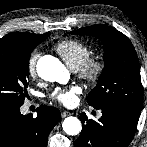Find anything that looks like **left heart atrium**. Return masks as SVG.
<instances>
[{"label": "left heart atrium", "instance_id": "39dd6f15", "mask_svg": "<svg viewBox=\"0 0 147 147\" xmlns=\"http://www.w3.org/2000/svg\"><path fill=\"white\" fill-rule=\"evenodd\" d=\"M82 88L78 85L68 88H57L51 94V98L65 106H73L78 101V95L81 94Z\"/></svg>", "mask_w": 147, "mask_h": 147}]
</instances>
